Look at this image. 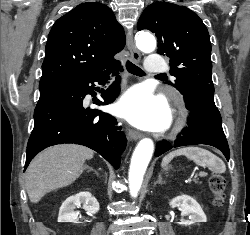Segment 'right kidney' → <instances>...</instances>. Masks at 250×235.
Listing matches in <instances>:
<instances>
[{
	"instance_id": "obj_1",
	"label": "right kidney",
	"mask_w": 250,
	"mask_h": 235,
	"mask_svg": "<svg viewBox=\"0 0 250 235\" xmlns=\"http://www.w3.org/2000/svg\"><path fill=\"white\" fill-rule=\"evenodd\" d=\"M83 205L87 214H96L99 211V203L90 192H80L67 198L60 207L58 222H76L78 212L76 207Z\"/></svg>"
}]
</instances>
